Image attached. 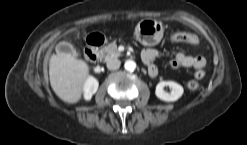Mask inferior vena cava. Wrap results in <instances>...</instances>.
I'll list each match as a JSON object with an SVG mask.
<instances>
[{
  "instance_id": "obj_1",
  "label": "inferior vena cava",
  "mask_w": 247,
  "mask_h": 145,
  "mask_svg": "<svg viewBox=\"0 0 247 145\" xmlns=\"http://www.w3.org/2000/svg\"><path fill=\"white\" fill-rule=\"evenodd\" d=\"M120 65H121L120 60L116 58H111L106 62V66L109 70H116L120 67Z\"/></svg>"
}]
</instances>
